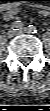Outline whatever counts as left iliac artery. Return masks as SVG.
Listing matches in <instances>:
<instances>
[{"label":"left iliac artery","mask_w":50,"mask_h":111,"mask_svg":"<svg viewBox=\"0 0 50 111\" xmlns=\"http://www.w3.org/2000/svg\"><path fill=\"white\" fill-rule=\"evenodd\" d=\"M28 31H29L30 33H33V34L37 33V29H36V27L33 26V25H29V26H28Z\"/></svg>","instance_id":"obj_1"}]
</instances>
